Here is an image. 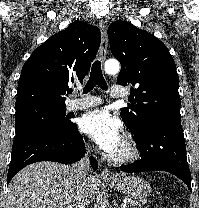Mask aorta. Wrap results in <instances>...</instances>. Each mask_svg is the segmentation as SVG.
<instances>
[{
	"instance_id": "aorta-1",
	"label": "aorta",
	"mask_w": 199,
	"mask_h": 208,
	"mask_svg": "<svg viewBox=\"0 0 199 208\" xmlns=\"http://www.w3.org/2000/svg\"><path fill=\"white\" fill-rule=\"evenodd\" d=\"M120 70V64L117 60H108L105 63V72L110 75L117 74Z\"/></svg>"
}]
</instances>
